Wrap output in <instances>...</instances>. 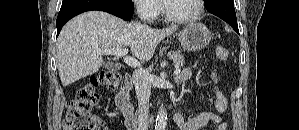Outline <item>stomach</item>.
Here are the masks:
<instances>
[{
  "label": "stomach",
  "mask_w": 299,
  "mask_h": 130,
  "mask_svg": "<svg viewBox=\"0 0 299 130\" xmlns=\"http://www.w3.org/2000/svg\"><path fill=\"white\" fill-rule=\"evenodd\" d=\"M182 47L191 52L204 49L211 41L212 34L202 23H191L177 34Z\"/></svg>",
  "instance_id": "stomach-1"
}]
</instances>
